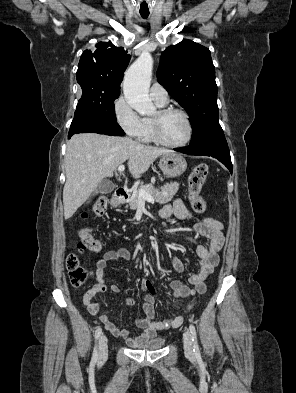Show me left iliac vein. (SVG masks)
Instances as JSON below:
<instances>
[{"mask_svg": "<svg viewBox=\"0 0 296 393\" xmlns=\"http://www.w3.org/2000/svg\"><path fill=\"white\" fill-rule=\"evenodd\" d=\"M183 341H184L185 354L187 356H193L194 355L193 341H192V335H191L190 331L184 332Z\"/></svg>", "mask_w": 296, "mask_h": 393, "instance_id": "left-iliac-vein-1", "label": "left iliac vein"}]
</instances>
